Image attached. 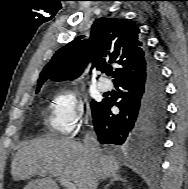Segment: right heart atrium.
<instances>
[{"label":"right heart atrium","instance_id":"1","mask_svg":"<svg viewBox=\"0 0 188 189\" xmlns=\"http://www.w3.org/2000/svg\"><path fill=\"white\" fill-rule=\"evenodd\" d=\"M86 114L82 100L71 91H62L53 99L50 124L55 131L68 134L81 128Z\"/></svg>","mask_w":188,"mask_h":189}]
</instances>
